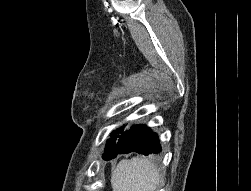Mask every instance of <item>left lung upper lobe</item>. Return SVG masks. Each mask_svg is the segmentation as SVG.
Masks as SVG:
<instances>
[{"mask_svg":"<svg viewBox=\"0 0 251 191\" xmlns=\"http://www.w3.org/2000/svg\"><path fill=\"white\" fill-rule=\"evenodd\" d=\"M122 130H123V128H119L111 133L112 138L108 139L107 144H106V148H105V152L102 156L104 160H106L109 157V155L112 153L114 145H115V143L118 139V136H119L116 134L120 133Z\"/></svg>","mask_w":251,"mask_h":191,"instance_id":"left-lung-upper-lobe-1","label":"left lung upper lobe"}]
</instances>
